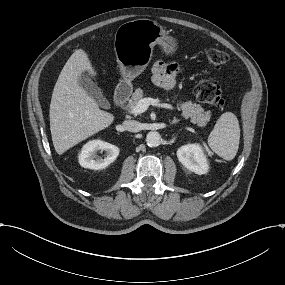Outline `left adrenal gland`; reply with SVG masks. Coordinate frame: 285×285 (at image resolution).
<instances>
[{"mask_svg":"<svg viewBox=\"0 0 285 285\" xmlns=\"http://www.w3.org/2000/svg\"><path fill=\"white\" fill-rule=\"evenodd\" d=\"M180 122V120H173L172 122H170V126L174 125V124H178Z\"/></svg>","mask_w":285,"mask_h":285,"instance_id":"a2214340","label":"left adrenal gland"}]
</instances>
